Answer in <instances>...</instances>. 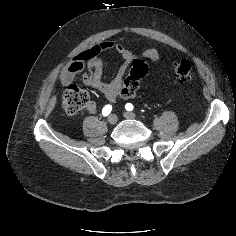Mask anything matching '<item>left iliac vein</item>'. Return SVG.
I'll return each mask as SVG.
<instances>
[{
    "label": "left iliac vein",
    "instance_id": "1",
    "mask_svg": "<svg viewBox=\"0 0 236 236\" xmlns=\"http://www.w3.org/2000/svg\"><path fill=\"white\" fill-rule=\"evenodd\" d=\"M124 117L127 119H135V114L132 112H124Z\"/></svg>",
    "mask_w": 236,
    "mask_h": 236
}]
</instances>
